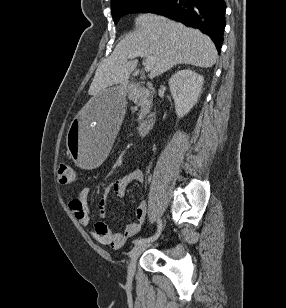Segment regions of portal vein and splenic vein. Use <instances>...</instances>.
<instances>
[{"label": "portal vein and splenic vein", "instance_id": "1", "mask_svg": "<svg viewBox=\"0 0 286 308\" xmlns=\"http://www.w3.org/2000/svg\"><path fill=\"white\" fill-rule=\"evenodd\" d=\"M138 56L146 58V61H145V64H144L145 71L148 72V71L152 70V68L154 67V64H155V57L153 55H150L147 52H144V51H135V52H132L128 55V59H134Z\"/></svg>", "mask_w": 286, "mask_h": 308}]
</instances>
